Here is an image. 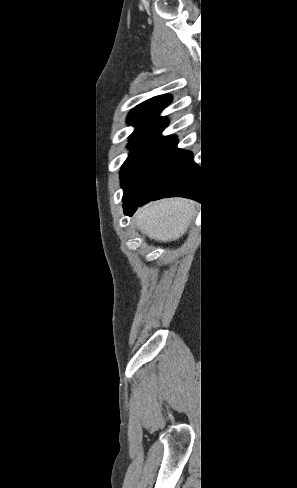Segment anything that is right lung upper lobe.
<instances>
[{
    "label": "right lung upper lobe",
    "instance_id": "cb5924a9",
    "mask_svg": "<svg viewBox=\"0 0 297 488\" xmlns=\"http://www.w3.org/2000/svg\"><path fill=\"white\" fill-rule=\"evenodd\" d=\"M170 102L171 97L169 95H161L137 105L127 118L129 124L136 125L133 134L142 132L161 133L168 125V121L163 117H158V114Z\"/></svg>",
    "mask_w": 297,
    "mask_h": 488
}]
</instances>
